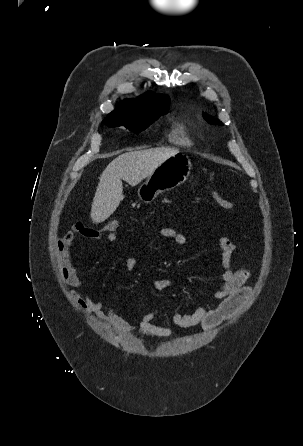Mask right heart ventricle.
I'll return each mask as SVG.
<instances>
[{
  "mask_svg": "<svg viewBox=\"0 0 303 446\" xmlns=\"http://www.w3.org/2000/svg\"><path fill=\"white\" fill-rule=\"evenodd\" d=\"M169 140L171 143L178 146L187 147L192 145V140L188 135L186 128L180 123H177L172 127Z\"/></svg>",
  "mask_w": 303,
  "mask_h": 446,
  "instance_id": "right-heart-ventricle-1",
  "label": "right heart ventricle"
}]
</instances>
